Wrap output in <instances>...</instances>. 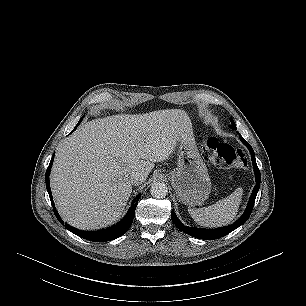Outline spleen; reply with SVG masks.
Listing matches in <instances>:
<instances>
[{"instance_id": "spleen-1", "label": "spleen", "mask_w": 306, "mask_h": 306, "mask_svg": "<svg viewBox=\"0 0 306 306\" xmlns=\"http://www.w3.org/2000/svg\"><path fill=\"white\" fill-rule=\"evenodd\" d=\"M243 189L237 188L230 196L215 204L199 209H188L194 221L204 227H221L229 224L237 215Z\"/></svg>"}]
</instances>
